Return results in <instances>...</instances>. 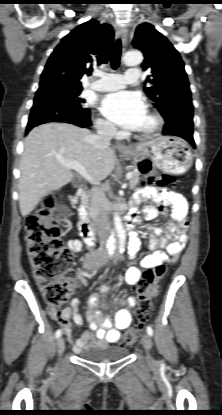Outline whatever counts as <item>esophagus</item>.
I'll return each mask as SVG.
<instances>
[{
  "mask_svg": "<svg viewBox=\"0 0 222 415\" xmlns=\"http://www.w3.org/2000/svg\"><path fill=\"white\" fill-rule=\"evenodd\" d=\"M117 37H119L121 39L122 45H123V51H124L125 50L126 43H127V31H126V29H124V28L118 29V31H117ZM115 147L118 150H122V151L128 150V147L127 146H125V145H123L121 143H118V142L115 143Z\"/></svg>",
  "mask_w": 222,
  "mask_h": 415,
  "instance_id": "obj_1",
  "label": "esophagus"
}]
</instances>
